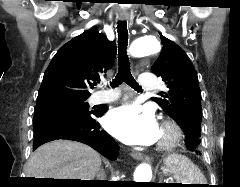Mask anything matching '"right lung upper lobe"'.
<instances>
[{"label": "right lung upper lobe", "instance_id": "1", "mask_svg": "<svg viewBox=\"0 0 240 187\" xmlns=\"http://www.w3.org/2000/svg\"><path fill=\"white\" fill-rule=\"evenodd\" d=\"M116 44L96 29L76 36L63 45L47 67L37 105L60 99L86 98L88 87L100 80L99 74L113 66Z\"/></svg>", "mask_w": 240, "mask_h": 187}]
</instances>
